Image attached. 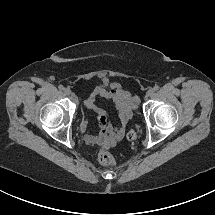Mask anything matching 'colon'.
Segmentation results:
<instances>
[{"label": "colon", "mask_w": 215, "mask_h": 215, "mask_svg": "<svg viewBox=\"0 0 215 215\" xmlns=\"http://www.w3.org/2000/svg\"><path fill=\"white\" fill-rule=\"evenodd\" d=\"M136 137H137V134L134 130L130 131L127 136L128 140L130 142L135 141ZM98 160L104 166H114L115 165V160H114L113 156L105 150H100V152L98 154Z\"/></svg>", "instance_id": "colon-1"}]
</instances>
